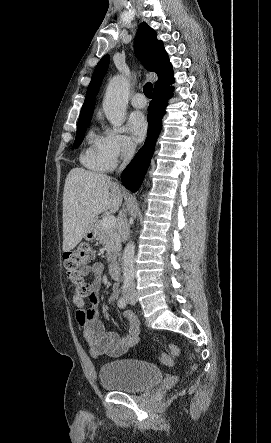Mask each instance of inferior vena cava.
<instances>
[{
  "instance_id": "1",
  "label": "inferior vena cava",
  "mask_w": 271,
  "mask_h": 443,
  "mask_svg": "<svg viewBox=\"0 0 271 443\" xmlns=\"http://www.w3.org/2000/svg\"><path fill=\"white\" fill-rule=\"evenodd\" d=\"M135 150H136V146H135L134 142H123L122 148H121V156L123 158V162L119 168V172H122V170H124V168H126L128 162H130V160H132ZM129 231H130L129 225L126 222L125 218H124V220H123V218H121V225L119 227V233H120L123 241H125V239H128V237L130 235ZM134 293H135V290H133V288H130V286H125L123 296H134Z\"/></svg>"
}]
</instances>
